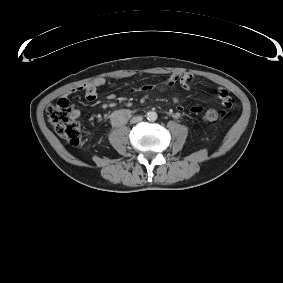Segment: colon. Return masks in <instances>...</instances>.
Segmentation results:
<instances>
[{"instance_id":"obj_1","label":"colon","mask_w":283,"mask_h":283,"mask_svg":"<svg viewBox=\"0 0 283 283\" xmlns=\"http://www.w3.org/2000/svg\"><path fill=\"white\" fill-rule=\"evenodd\" d=\"M224 112L210 108L204 113V119L210 123H219ZM47 118L56 133L72 146H78L82 139L81 127L73 116V105L68 98H60L47 110Z\"/></svg>"}]
</instances>
